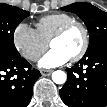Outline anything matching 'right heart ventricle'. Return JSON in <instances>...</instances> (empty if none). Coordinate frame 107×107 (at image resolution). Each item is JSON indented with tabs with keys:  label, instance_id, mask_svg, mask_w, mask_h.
<instances>
[{
	"label": "right heart ventricle",
	"instance_id": "1",
	"mask_svg": "<svg viewBox=\"0 0 107 107\" xmlns=\"http://www.w3.org/2000/svg\"><path fill=\"white\" fill-rule=\"evenodd\" d=\"M75 20V18L67 13H54L40 18L35 26L40 38L49 43L53 34L65 23Z\"/></svg>",
	"mask_w": 107,
	"mask_h": 107
}]
</instances>
